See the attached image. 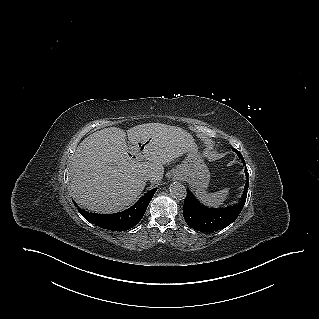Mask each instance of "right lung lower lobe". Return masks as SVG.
<instances>
[{"label":"right lung lower lobe","mask_w":319,"mask_h":319,"mask_svg":"<svg viewBox=\"0 0 319 319\" xmlns=\"http://www.w3.org/2000/svg\"><path fill=\"white\" fill-rule=\"evenodd\" d=\"M156 190L157 188L148 191L135 205L123 212L115 214H98L89 213L80 208L78 210L87 221L96 226L112 231L128 230L137 225L142 219Z\"/></svg>","instance_id":"98d812e1"}]
</instances>
